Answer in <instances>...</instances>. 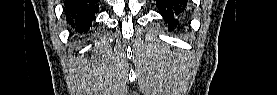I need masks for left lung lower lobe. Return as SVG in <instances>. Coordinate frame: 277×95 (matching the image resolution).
I'll return each mask as SVG.
<instances>
[{"label":"left lung lower lobe","mask_w":277,"mask_h":95,"mask_svg":"<svg viewBox=\"0 0 277 95\" xmlns=\"http://www.w3.org/2000/svg\"><path fill=\"white\" fill-rule=\"evenodd\" d=\"M159 12L168 24V30L176 27L187 7L186 0H156Z\"/></svg>","instance_id":"left-lung-lower-lobe-1"}]
</instances>
